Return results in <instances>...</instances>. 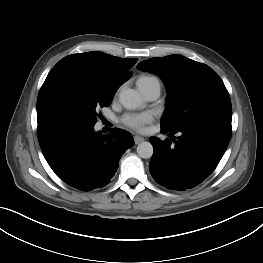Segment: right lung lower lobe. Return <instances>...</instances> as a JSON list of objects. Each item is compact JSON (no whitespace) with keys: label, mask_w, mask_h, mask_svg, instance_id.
Returning a JSON list of instances; mask_svg holds the SVG:
<instances>
[{"label":"right lung lower lobe","mask_w":263,"mask_h":263,"mask_svg":"<svg viewBox=\"0 0 263 263\" xmlns=\"http://www.w3.org/2000/svg\"><path fill=\"white\" fill-rule=\"evenodd\" d=\"M38 139L55 174L82 191L107 185L122 154L134 145L132 135L118 128L102 135L93 127H55L38 132Z\"/></svg>","instance_id":"obj_1"}]
</instances>
